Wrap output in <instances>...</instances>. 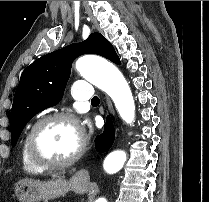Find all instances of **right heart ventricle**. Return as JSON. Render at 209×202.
I'll use <instances>...</instances> for the list:
<instances>
[{
    "mask_svg": "<svg viewBox=\"0 0 209 202\" xmlns=\"http://www.w3.org/2000/svg\"><path fill=\"white\" fill-rule=\"evenodd\" d=\"M28 132H29V131H27V132L24 134L23 139H22V143H21V164H22L23 169H24L26 172H29V173H40V172L42 171V169L36 167V166L28 159V156H27V154H26L25 146H26V139H27Z\"/></svg>",
    "mask_w": 209,
    "mask_h": 202,
    "instance_id": "right-heart-ventricle-1",
    "label": "right heart ventricle"
}]
</instances>
